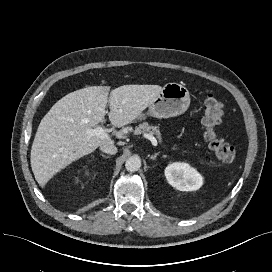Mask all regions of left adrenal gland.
Instances as JSON below:
<instances>
[{"mask_svg":"<svg viewBox=\"0 0 272 272\" xmlns=\"http://www.w3.org/2000/svg\"><path fill=\"white\" fill-rule=\"evenodd\" d=\"M160 154V152L155 153L154 155L150 156L151 160H155L156 157Z\"/></svg>","mask_w":272,"mask_h":272,"instance_id":"a2214340","label":"left adrenal gland"}]
</instances>
